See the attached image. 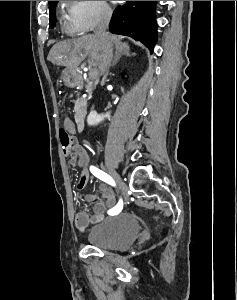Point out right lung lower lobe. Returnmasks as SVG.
<instances>
[{
	"mask_svg": "<svg viewBox=\"0 0 237 300\" xmlns=\"http://www.w3.org/2000/svg\"><path fill=\"white\" fill-rule=\"evenodd\" d=\"M156 1H128L118 6L110 22V31L130 36L144 43L150 50L157 40L154 6Z\"/></svg>",
	"mask_w": 237,
	"mask_h": 300,
	"instance_id": "right-lung-lower-lobe-1",
	"label": "right lung lower lobe"
}]
</instances>
